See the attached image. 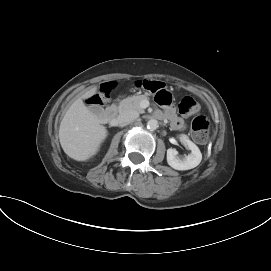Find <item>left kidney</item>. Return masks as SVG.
I'll use <instances>...</instances> for the list:
<instances>
[{"instance_id":"1","label":"left kidney","mask_w":271,"mask_h":271,"mask_svg":"<svg viewBox=\"0 0 271 271\" xmlns=\"http://www.w3.org/2000/svg\"><path fill=\"white\" fill-rule=\"evenodd\" d=\"M180 141L187 146L191 153L184 158L177 156L176 149L167 150V162L169 166L176 170H189L198 166L202 160V154L196 144H194L186 135L180 136Z\"/></svg>"}]
</instances>
